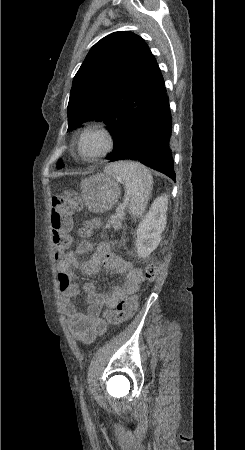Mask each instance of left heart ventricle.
I'll return each instance as SVG.
<instances>
[{"label":"left heart ventricle","instance_id":"left-heart-ventricle-1","mask_svg":"<svg viewBox=\"0 0 245 450\" xmlns=\"http://www.w3.org/2000/svg\"><path fill=\"white\" fill-rule=\"evenodd\" d=\"M104 141L100 136H93L86 140L82 146V152L85 154L96 153L103 147Z\"/></svg>","mask_w":245,"mask_h":450}]
</instances>
